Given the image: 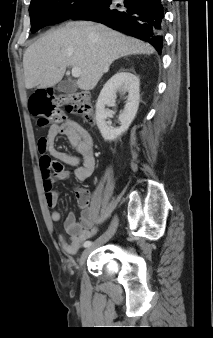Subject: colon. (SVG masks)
I'll return each mask as SVG.
<instances>
[{"mask_svg":"<svg viewBox=\"0 0 213 338\" xmlns=\"http://www.w3.org/2000/svg\"><path fill=\"white\" fill-rule=\"evenodd\" d=\"M64 108L88 122L92 121L91 100L86 93L52 94L36 91L29 100L30 112L40 125L61 124L65 120Z\"/></svg>","mask_w":213,"mask_h":338,"instance_id":"colon-1","label":"colon"}]
</instances>
